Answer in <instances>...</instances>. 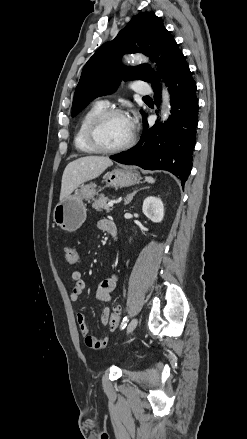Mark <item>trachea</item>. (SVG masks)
I'll return each instance as SVG.
<instances>
[{
    "label": "trachea",
    "instance_id": "1",
    "mask_svg": "<svg viewBox=\"0 0 247 439\" xmlns=\"http://www.w3.org/2000/svg\"><path fill=\"white\" fill-rule=\"evenodd\" d=\"M143 99H150V97L149 96H144Z\"/></svg>",
    "mask_w": 247,
    "mask_h": 439
}]
</instances>
